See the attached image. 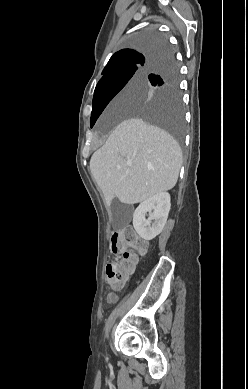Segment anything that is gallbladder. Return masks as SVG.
<instances>
[{
    "label": "gallbladder",
    "instance_id": "bac80fb5",
    "mask_svg": "<svg viewBox=\"0 0 248 389\" xmlns=\"http://www.w3.org/2000/svg\"><path fill=\"white\" fill-rule=\"evenodd\" d=\"M130 210L131 207L129 205H123L117 199L113 200L112 211L115 215L119 214L124 219V222L129 220Z\"/></svg>",
    "mask_w": 248,
    "mask_h": 389
}]
</instances>
